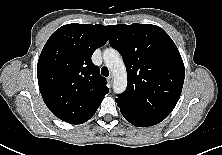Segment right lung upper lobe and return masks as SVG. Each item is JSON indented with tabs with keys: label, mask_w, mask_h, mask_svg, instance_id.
<instances>
[{
	"label": "right lung upper lobe",
	"mask_w": 222,
	"mask_h": 155,
	"mask_svg": "<svg viewBox=\"0 0 222 155\" xmlns=\"http://www.w3.org/2000/svg\"><path fill=\"white\" fill-rule=\"evenodd\" d=\"M107 40L104 25L72 23L46 42L37 65L38 85L45 104L59 119L81 124L108 93L105 78L91 61Z\"/></svg>",
	"instance_id": "right-lung-upper-lobe-1"
}]
</instances>
